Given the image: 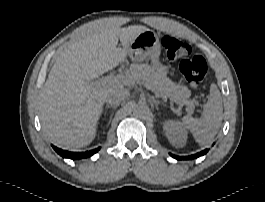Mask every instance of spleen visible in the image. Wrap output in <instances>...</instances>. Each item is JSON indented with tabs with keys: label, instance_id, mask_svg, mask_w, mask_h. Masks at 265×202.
Segmentation results:
<instances>
[{
	"label": "spleen",
	"instance_id": "3e777b00",
	"mask_svg": "<svg viewBox=\"0 0 265 202\" xmlns=\"http://www.w3.org/2000/svg\"><path fill=\"white\" fill-rule=\"evenodd\" d=\"M223 107L222 97L215 84L211 85L208 102L203 106L201 118L186 115L181 125L189 130L196 142L201 146L209 144L218 133L222 123Z\"/></svg>",
	"mask_w": 265,
	"mask_h": 202
}]
</instances>
